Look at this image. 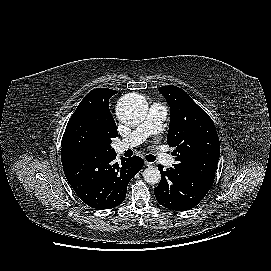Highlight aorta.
Returning a JSON list of instances; mask_svg holds the SVG:
<instances>
[{"instance_id": "762f6f07", "label": "aorta", "mask_w": 271, "mask_h": 271, "mask_svg": "<svg viewBox=\"0 0 271 271\" xmlns=\"http://www.w3.org/2000/svg\"><path fill=\"white\" fill-rule=\"evenodd\" d=\"M147 114L144 99L138 95L124 96L117 106V116L126 125H137L142 122ZM144 180L148 184H157L161 180L158 168L149 167L143 172Z\"/></svg>"}]
</instances>
